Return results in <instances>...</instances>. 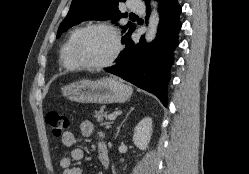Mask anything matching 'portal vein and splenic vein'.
Instances as JSON below:
<instances>
[{"label":"portal vein and splenic vein","instance_id":"obj_1","mask_svg":"<svg viewBox=\"0 0 249 174\" xmlns=\"http://www.w3.org/2000/svg\"><path fill=\"white\" fill-rule=\"evenodd\" d=\"M108 119L109 120H115L116 119V115L114 113H111L108 115Z\"/></svg>","mask_w":249,"mask_h":174}]
</instances>
